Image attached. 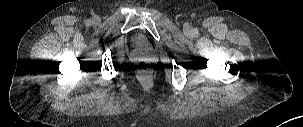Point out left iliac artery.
<instances>
[{
  "mask_svg": "<svg viewBox=\"0 0 303 127\" xmlns=\"http://www.w3.org/2000/svg\"><path fill=\"white\" fill-rule=\"evenodd\" d=\"M194 33H195V34H197L198 32H197V31H195Z\"/></svg>",
  "mask_w": 303,
  "mask_h": 127,
  "instance_id": "1",
  "label": "left iliac artery"
}]
</instances>
